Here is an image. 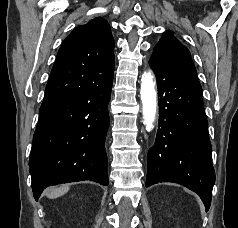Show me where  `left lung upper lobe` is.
<instances>
[{"label": "left lung upper lobe", "instance_id": "obj_1", "mask_svg": "<svg viewBox=\"0 0 238 228\" xmlns=\"http://www.w3.org/2000/svg\"><path fill=\"white\" fill-rule=\"evenodd\" d=\"M153 53H162L174 62L195 69L189 50L169 31H166L163 34L162 38L155 46Z\"/></svg>", "mask_w": 238, "mask_h": 228}]
</instances>
